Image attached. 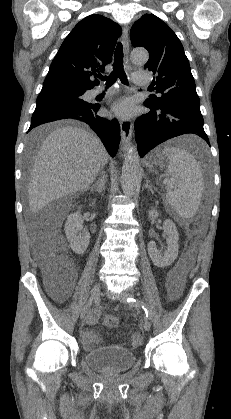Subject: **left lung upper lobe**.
<instances>
[{
  "mask_svg": "<svg viewBox=\"0 0 231 419\" xmlns=\"http://www.w3.org/2000/svg\"><path fill=\"white\" fill-rule=\"evenodd\" d=\"M134 47L149 51L146 70L155 75L153 84L161 97L150 95L146 100L154 106L171 102H196L200 99L183 46L176 34L160 18L145 14L131 28Z\"/></svg>",
  "mask_w": 231,
  "mask_h": 419,
  "instance_id": "left-lung-upper-lobe-1",
  "label": "left lung upper lobe"
}]
</instances>
